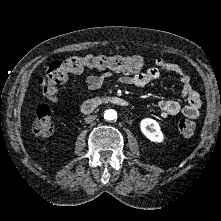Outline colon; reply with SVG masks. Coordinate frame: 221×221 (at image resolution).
Segmentation results:
<instances>
[{
    "label": "colon",
    "mask_w": 221,
    "mask_h": 221,
    "mask_svg": "<svg viewBox=\"0 0 221 221\" xmlns=\"http://www.w3.org/2000/svg\"><path fill=\"white\" fill-rule=\"evenodd\" d=\"M145 61L140 56H94L69 57L64 60L52 62L45 78L41 80V91L45 97L55 100L59 94V85L62 84L68 74L81 73L85 67L105 69L109 68L122 73H136L145 67ZM179 132L186 137L195 132V122L189 118H183L178 122ZM53 132L52 112L46 105H40L35 111L33 133L39 137H48Z\"/></svg>",
    "instance_id": "colon-1"
}]
</instances>
